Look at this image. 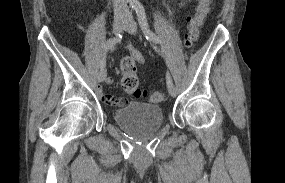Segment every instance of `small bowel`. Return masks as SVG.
Here are the masks:
<instances>
[{"instance_id":"c3829d8e","label":"small bowel","mask_w":285,"mask_h":183,"mask_svg":"<svg viewBox=\"0 0 285 183\" xmlns=\"http://www.w3.org/2000/svg\"><path fill=\"white\" fill-rule=\"evenodd\" d=\"M128 48H129L131 57H132L137 63H139V64H144V63H145L144 57L142 56V54H141L136 48H134L131 44H129ZM106 83H107V84H112V83H113V79H112L111 77H108V78L106 79ZM98 93H99V95H100L106 102H108V103L111 104V105H115V104H113V103L111 102V99H112L113 97H115V96L105 95V94L102 92L101 89H98ZM116 98H118L119 100L122 101V104H121V105L125 104V102H126L125 99L119 98V97H116Z\"/></svg>"}]
</instances>
